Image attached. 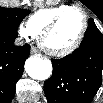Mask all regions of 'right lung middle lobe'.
Masks as SVG:
<instances>
[{
  "label": "right lung middle lobe",
  "mask_w": 103,
  "mask_h": 103,
  "mask_svg": "<svg viewBox=\"0 0 103 103\" xmlns=\"http://www.w3.org/2000/svg\"><path fill=\"white\" fill-rule=\"evenodd\" d=\"M29 13L25 9L0 7V33L17 37L19 24Z\"/></svg>",
  "instance_id": "dd1d6c3e"
}]
</instances>
